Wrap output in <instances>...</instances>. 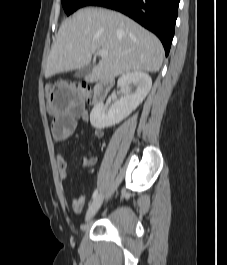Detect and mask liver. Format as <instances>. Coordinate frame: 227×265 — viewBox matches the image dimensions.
Segmentation results:
<instances>
[{
  "mask_svg": "<svg viewBox=\"0 0 227 265\" xmlns=\"http://www.w3.org/2000/svg\"><path fill=\"white\" fill-rule=\"evenodd\" d=\"M99 50H106L108 56L93 67L92 77L102 81L132 71L155 73L164 57L160 40L129 17L85 8L62 22L51 47L45 78L83 68Z\"/></svg>",
  "mask_w": 227,
  "mask_h": 265,
  "instance_id": "1",
  "label": "liver"
}]
</instances>
